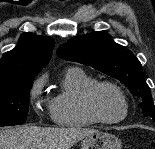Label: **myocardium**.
<instances>
[{
	"mask_svg": "<svg viewBox=\"0 0 155 149\" xmlns=\"http://www.w3.org/2000/svg\"><path fill=\"white\" fill-rule=\"evenodd\" d=\"M103 86L112 87L119 93V95L122 98V101L124 104V112L120 117L116 119H105L97 110V107L95 104V95L97 90ZM84 101H85V107L87 112L92 116V118H94L99 123L108 124V125L117 124L124 121L129 114L130 105H129V101L126 93L117 83L109 80H98L92 83L85 92Z\"/></svg>",
	"mask_w": 155,
	"mask_h": 149,
	"instance_id": "1",
	"label": "myocardium"
}]
</instances>
